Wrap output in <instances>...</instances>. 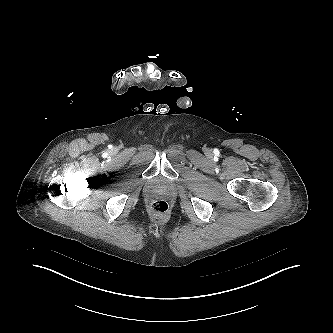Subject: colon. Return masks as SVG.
I'll list each match as a JSON object with an SVG mask.
<instances>
[{"instance_id": "1", "label": "colon", "mask_w": 333, "mask_h": 333, "mask_svg": "<svg viewBox=\"0 0 333 333\" xmlns=\"http://www.w3.org/2000/svg\"><path fill=\"white\" fill-rule=\"evenodd\" d=\"M150 208L154 214L159 216H164L169 212V204L163 199L153 201Z\"/></svg>"}]
</instances>
